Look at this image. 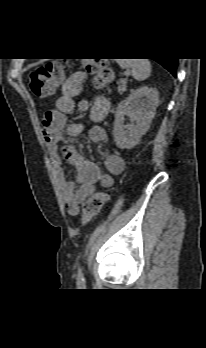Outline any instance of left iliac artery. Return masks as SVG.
Returning <instances> with one entry per match:
<instances>
[{"label":"left iliac artery","instance_id":"1","mask_svg":"<svg viewBox=\"0 0 206 348\" xmlns=\"http://www.w3.org/2000/svg\"><path fill=\"white\" fill-rule=\"evenodd\" d=\"M77 282H78V284H84V283H85V279H84V277H83L82 269H81L80 266L78 267Z\"/></svg>","mask_w":206,"mask_h":348}]
</instances>
